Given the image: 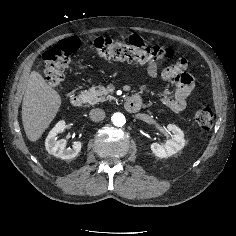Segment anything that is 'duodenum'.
<instances>
[{
  "label": "duodenum",
  "instance_id": "410a0bca",
  "mask_svg": "<svg viewBox=\"0 0 236 236\" xmlns=\"http://www.w3.org/2000/svg\"><path fill=\"white\" fill-rule=\"evenodd\" d=\"M70 103L74 107H80L83 104V97L81 95H73L70 98ZM142 105L141 98L139 96H131L125 102V109L130 113H135L140 110Z\"/></svg>",
  "mask_w": 236,
  "mask_h": 236
}]
</instances>
